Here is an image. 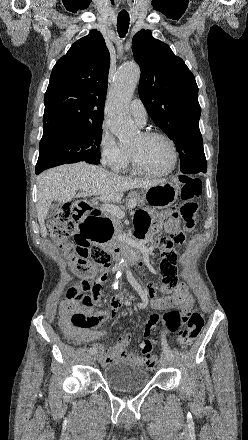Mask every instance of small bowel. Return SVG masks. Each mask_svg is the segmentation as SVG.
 Wrapping results in <instances>:
<instances>
[{"label": "small bowel", "mask_w": 248, "mask_h": 440, "mask_svg": "<svg viewBox=\"0 0 248 440\" xmlns=\"http://www.w3.org/2000/svg\"><path fill=\"white\" fill-rule=\"evenodd\" d=\"M160 226V219L157 215H152L146 211H139L135 216L136 236L141 239L145 235L153 232ZM179 260L177 257H159L155 265L159 277H161V287L156 290L152 287L157 286V281L149 279L146 282L149 289L143 288L140 284L134 283L136 291L139 293L140 306L150 305L156 310H168L179 307L183 311H190L193 305L192 297L187 288L178 280ZM102 271L98 282V300L101 297V286L109 278V268ZM163 294V295H160ZM169 294V295H167ZM118 305L112 301L107 308L93 312L90 309H80L76 306L63 302L58 310L59 326L64 335L75 344L95 342L94 347L99 351V361L106 366L116 361L124 360L142 366L145 359L128 351L131 342V335L121 336L114 348H105L97 341L105 336V332L99 328L109 319L113 318L118 312ZM75 312H83L91 320L87 327H76L71 322V317ZM146 363V362H145Z\"/></svg>", "instance_id": "small-bowel-1"}]
</instances>
